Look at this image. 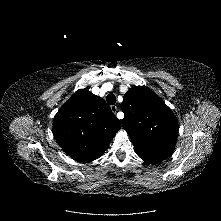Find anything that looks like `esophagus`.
I'll use <instances>...</instances> for the list:
<instances>
[{"label": "esophagus", "instance_id": "obj_1", "mask_svg": "<svg viewBox=\"0 0 221 221\" xmlns=\"http://www.w3.org/2000/svg\"><path fill=\"white\" fill-rule=\"evenodd\" d=\"M111 110L113 113H116L118 111V107L116 105H112Z\"/></svg>", "mask_w": 221, "mask_h": 221}]
</instances>
